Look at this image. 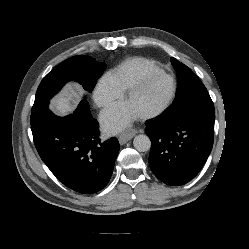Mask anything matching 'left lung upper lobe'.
Returning a JSON list of instances; mask_svg holds the SVG:
<instances>
[{"instance_id": "5c2ea615", "label": "left lung upper lobe", "mask_w": 249, "mask_h": 249, "mask_svg": "<svg viewBox=\"0 0 249 249\" xmlns=\"http://www.w3.org/2000/svg\"><path fill=\"white\" fill-rule=\"evenodd\" d=\"M171 63L177 75L176 96L160 117L174 122L192 115L214 113L210 95L197 75L173 57Z\"/></svg>"}]
</instances>
